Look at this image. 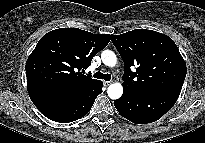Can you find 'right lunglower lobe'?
<instances>
[{
	"label": "right lung lower lobe",
	"instance_id": "98d812e1",
	"mask_svg": "<svg viewBox=\"0 0 205 143\" xmlns=\"http://www.w3.org/2000/svg\"><path fill=\"white\" fill-rule=\"evenodd\" d=\"M103 83L87 86L70 94L30 93V99L38 110L47 118L69 123L85 116L94 104L96 97L102 93Z\"/></svg>",
	"mask_w": 205,
	"mask_h": 143
}]
</instances>
